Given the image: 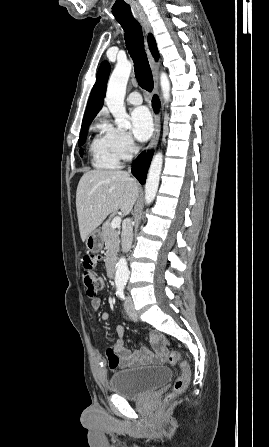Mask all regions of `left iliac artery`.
I'll use <instances>...</instances> for the list:
<instances>
[{
    "label": "left iliac artery",
    "instance_id": "left-iliac-artery-1",
    "mask_svg": "<svg viewBox=\"0 0 269 447\" xmlns=\"http://www.w3.org/2000/svg\"><path fill=\"white\" fill-rule=\"evenodd\" d=\"M125 285H126V283H119V284H117V292H116V295L119 297V298H121V299H124L125 298V295H124V288H125Z\"/></svg>",
    "mask_w": 269,
    "mask_h": 447
}]
</instances>
